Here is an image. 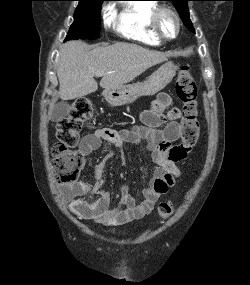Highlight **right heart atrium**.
I'll use <instances>...</instances> for the list:
<instances>
[{
	"label": "right heart atrium",
	"mask_w": 250,
	"mask_h": 285,
	"mask_svg": "<svg viewBox=\"0 0 250 285\" xmlns=\"http://www.w3.org/2000/svg\"><path fill=\"white\" fill-rule=\"evenodd\" d=\"M116 12L113 6H107L103 10V20L107 27H110L115 22Z\"/></svg>",
	"instance_id": "right-heart-atrium-1"
}]
</instances>
